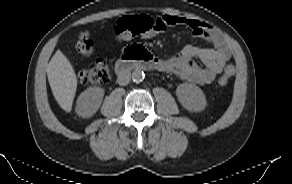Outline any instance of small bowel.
Here are the masks:
<instances>
[{
    "mask_svg": "<svg viewBox=\"0 0 292 184\" xmlns=\"http://www.w3.org/2000/svg\"><path fill=\"white\" fill-rule=\"evenodd\" d=\"M161 32L176 25L188 27L193 37L211 43V48H201L194 44L186 45L176 56L164 61L165 71L186 81L204 85L211 83L223 70L231 58L230 49L221 33L211 25L178 15H163L155 18ZM198 59L202 66L194 62Z\"/></svg>",
    "mask_w": 292,
    "mask_h": 184,
    "instance_id": "1",
    "label": "small bowel"
}]
</instances>
